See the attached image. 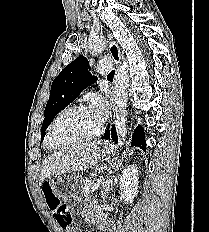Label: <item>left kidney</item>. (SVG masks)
<instances>
[{
    "mask_svg": "<svg viewBox=\"0 0 209 232\" xmlns=\"http://www.w3.org/2000/svg\"><path fill=\"white\" fill-rule=\"evenodd\" d=\"M119 189L122 198L127 203H132L138 189V168L135 165H130L123 170Z\"/></svg>",
    "mask_w": 209,
    "mask_h": 232,
    "instance_id": "obj_1",
    "label": "left kidney"
}]
</instances>
